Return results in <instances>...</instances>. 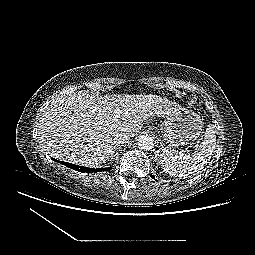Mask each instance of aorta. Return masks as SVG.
<instances>
[{
    "label": "aorta",
    "mask_w": 255,
    "mask_h": 255,
    "mask_svg": "<svg viewBox=\"0 0 255 255\" xmlns=\"http://www.w3.org/2000/svg\"><path fill=\"white\" fill-rule=\"evenodd\" d=\"M137 145L141 150H151L153 148V139L149 136H140L137 139Z\"/></svg>",
    "instance_id": "obj_1"
}]
</instances>
